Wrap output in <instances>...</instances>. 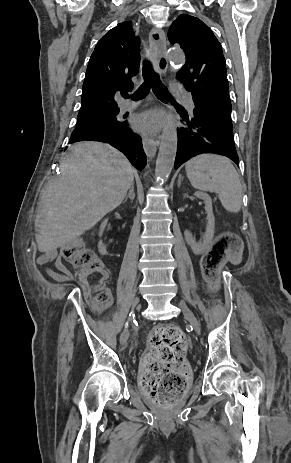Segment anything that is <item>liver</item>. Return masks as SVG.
Wrapping results in <instances>:
<instances>
[{
  "mask_svg": "<svg viewBox=\"0 0 291 463\" xmlns=\"http://www.w3.org/2000/svg\"><path fill=\"white\" fill-rule=\"evenodd\" d=\"M60 175L46 189L35 227L38 249L47 255L91 229L117 208L134 181L128 159L108 144L72 145Z\"/></svg>",
  "mask_w": 291,
  "mask_h": 463,
  "instance_id": "liver-1",
  "label": "liver"
}]
</instances>
